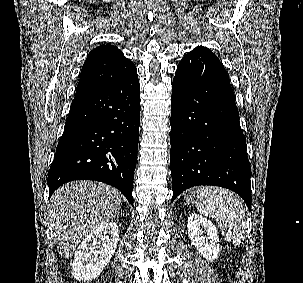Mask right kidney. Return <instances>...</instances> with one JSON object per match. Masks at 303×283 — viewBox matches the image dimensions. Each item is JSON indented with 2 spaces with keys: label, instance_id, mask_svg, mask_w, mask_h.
Instances as JSON below:
<instances>
[{
  "label": "right kidney",
  "instance_id": "ca27d5eb",
  "mask_svg": "<svg viewBox=\"0 0 303 283\" xmlns=\"http://www.w3.org/2000/svg\"><path fill=\"white\" fill-rule=\"evenodd\" d=\"M119 240L115 222L106 223L90 233L75 252L72 275L78 281L98 277L114 254Z\"/></svg>",
  "mask_w": 303,
  "mask_h": 283
}]
</instances>
